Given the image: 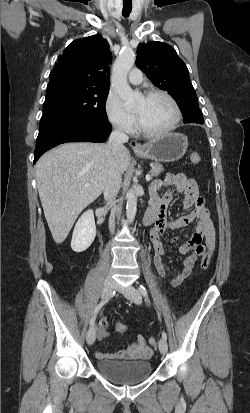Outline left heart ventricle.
Masks as SVG:
<instances>
[{
  "label": "left heart ventricle",
  "mask_w": 250,
  "mask_h": 413,
  "mask_svg": "<svg viewBox=\"0 0 250 413\" xmlns=\"http://www.w3.org/2000/svg\"><path fill=\"white\" fill-rule=\"evenodd\" d=\"M134 111L142 125L152 132L168 128L175 117L171 103L162 96L141 98Z\"/></svg>",
  "instance_id": "b2bd125f"
}]
</instances>
